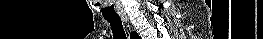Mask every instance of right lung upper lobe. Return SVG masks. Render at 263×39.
Masks as SVG:
<instances>
[{
	"instance_id": "obj_1",
	"label": "right lung upper lobe",
	"mask_w": 263,
	"mask_h": 39,
	"mask_svg": "<svg viewBox=\"0 0 263 39\" xmlns=\"http://www.w3.org/2000/svg\"><path fill=\"white\" fill-rule=\"evenodd\" d=\"M133 33H135V32H132L131 35H133L134 37H137V34L136 33L133 34Z\"/></svg>"
}]
</instances>
